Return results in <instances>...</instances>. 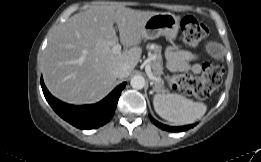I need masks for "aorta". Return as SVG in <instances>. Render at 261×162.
Masks as SVG:
<instances>
[{
  "mask_svg": "<svg viewBox=\"0 0 261 162\" xmlns=\"http://www.w3.org/2000/svg\"><path fill=\"white\" fill-rule=\"evenodd\" d=\"M130 84L135 89H142L145 86V79L141 75H135L132 77Z\"/></svg>",
  "mask_w": 261,
  "mask_h": 162,
  "instance_id": "obj_1",
  "label": "aorta"
}]
</instances>
